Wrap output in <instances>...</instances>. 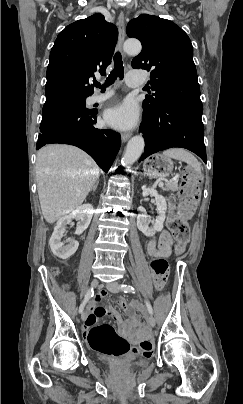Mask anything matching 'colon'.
<instances>
[{
    "label": "colon",
    "mask_w": 243,
    "mask_h": 404,
    "mask_svg": "<svg viewBox=\"0 0 243 404\" xmlns=\"http://www.w3.org/2000/svg\"><path fill=\"white\" fill-rule=\"evenodd\" d=\"M180 203L178 210L171 211L168 218V226L172 233L173 240L168 245V254L181 253L189 241V227L187 218L196 208L199 198V178L195 171L188 167L182 175ZM152 280L156 289L161 290L168 279V263L165 258H156L151 263ZM57 271L53 269V273ZM118 305L127 313H133V306L124 299L118 300ZM90 347L107 356H120L129 351V343L117 333L109 323H103L92 327L87 335ZM153 343L144 339L140 343V350L144 355H151Z\"/></svg>",
    "instance_id": "obj_1"
}]
</instances>
